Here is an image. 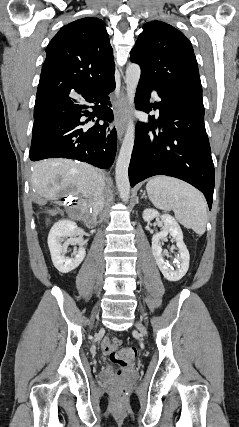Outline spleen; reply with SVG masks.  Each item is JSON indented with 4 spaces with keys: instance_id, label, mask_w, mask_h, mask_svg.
<instances>
[{
    "instance_id": "spleen-1",
    "label": "spleen",
    "mask_w": 239,
    "mask_h": 427,
    "mask_svg": "<svg viewBox=\"0 0 239 427\" xmlns=\"http://www.w3.org/2000/svg\"><path fill=\"white\" fill-rule=\"evenodd\" d=\"M146 190L150 201L159 209L173 210L184 227L202 235L206 231L207 204L204 196L193 186L168 176L151 178Z\"/></svg>"
}]
</instances>
